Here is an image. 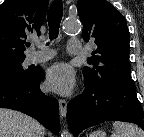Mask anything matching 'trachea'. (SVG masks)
<instances>
[{"label": "trachea", "mask_w": 144, "mask_h": 137, "mask_svg": "<svg viewBox=\"0 0 144 137\" xmlns=\"http://www.w3.org/2000/svg\"><path fill=\"white\" fill-rule=\"evenodd\" d=\"M63 15V4L61 0H55L49 10L47 15V21L49 25V37L50 40L57 38L59 32L60 22ZM30 46V43L27 44Z\"/></svg>", "instance_id": "obj_1"}]
</instances>
